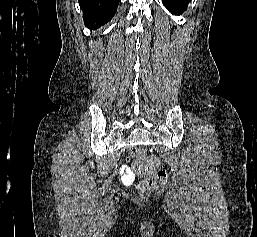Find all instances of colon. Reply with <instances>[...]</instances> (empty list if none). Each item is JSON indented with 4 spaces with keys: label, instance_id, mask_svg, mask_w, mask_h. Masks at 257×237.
<instances>
[{
    "label": "colon",
    "instance_id": "5ec220e1",
    "mask_svg": "<svg viewBox=\"0 0 257 237\" xmlns=\"http://www.w3.org/2000/svg\"><path fill=\"white\" fill-rule=\"evenodd\" d=\"M130 157L135 160L134 168L142 176L138 184V190L141 193H147L166 182L167 171L159 166V161L155 157L149 158L144 164L142 161L146 159V152L139 147H132L129 150Z\"/></svg>",
    "mask_w": 257,
    "mask_h": 237
}]
</instances>
